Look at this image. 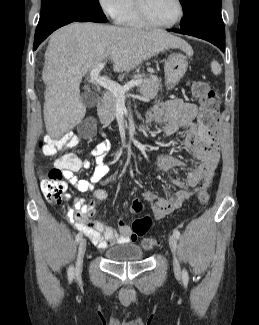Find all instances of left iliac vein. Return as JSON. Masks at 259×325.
Listing matches in <instances>:
<instances>
[{"label":"left iliac vein","instance_id":"obj_1","mask_svg":"<svg viewBox=\"0 0 259 325\" xmlns=\"http://www.w3.org/2000/svg\"><path fill=\"white\" fill-rule=\"evenodd\" d=\"M168 240H169L170 249L174 256V261H173L174 274L176 277H180L181 269L177 259V239L174 235H170Z\"/></svg>","mask_w":259,"mask_h":325}]
</instances>
